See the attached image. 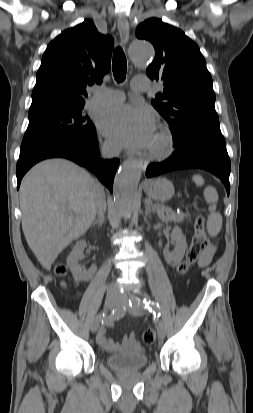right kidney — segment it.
<instances>
[{"instance_id": "1", "label": "right kidney", "mask_w": 253, "mask_h": 413, "mask_svg": "<svg viewBox=\"0 0 253 413\" xmlns=\"http://www.w3.org/2000/svg\"><path fill=\"white\" fill-rule=\"evenodd\" d=\"M85 247L86 242L84 240L77 242L67 258V265L70 268L74 278L78 281L90 280L97 270L96 265H92L88 271H85L79 264V260L83 257Z\"/></svg>"}]
</instances>
